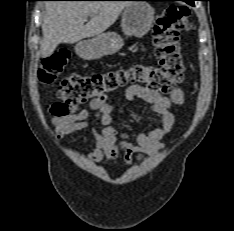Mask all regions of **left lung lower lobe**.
<instances>
[{
    "mask_svg": "<svg viewBox=\"0 0 234 231\" xmlns=\"http://www.w3.org/2000/svg\"><path fill=\"white\" fill-rule=\"evenodd\" d=\"M147 1H158V0H147ZM181 1H184V2L194 6V1H196V0H181Z\"/></svg>",
    "mask_w": 234,
    "mask_h": 231,
    "instance_id": "1",
    "label": "left lung lower lobe"
}]
</instances>
